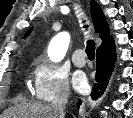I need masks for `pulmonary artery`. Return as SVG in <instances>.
I'll list each match as a JSON object with an SVG mask.
<instances>
[{
  "label": "pulmonary artery",
  "instance_id": "1",
  "mask_svg": "<svg viewBox=\"0 0 133 118\" xmlns=\"http://www.w3.org/2000/svg\"><path fill=\"white\" fill-rule=\"evenodd\" d=\"M73 63L78 67H83L86 64L85 51L83 49H77L72 55Z\"/></svg>",
  "mask_w": 133,
  "mask_h": 118
}]
</instances>
